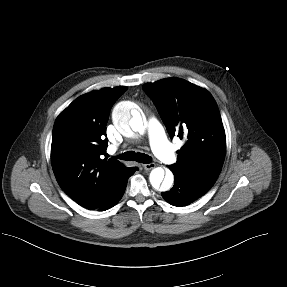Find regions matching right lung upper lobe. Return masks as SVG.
<instances>
[{"label":"right lung upper lobe","instance_id":"1","mask_svg":"<svg viewBox=\"0 0 287 287\" xmlns=\"http://www.w3.org/2000/svg\"><path fill=\"white\" fill-rule=\"evenodd\" d=\"M126 90L119 86L84 94L55 121L52 168L62 190L84 208L95 209L110 201L135 169L115 158L103 159L109 113Z\"/></svg>","mask_w":287,"mask_h":287}]
</instances>
